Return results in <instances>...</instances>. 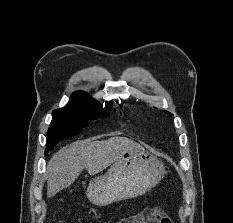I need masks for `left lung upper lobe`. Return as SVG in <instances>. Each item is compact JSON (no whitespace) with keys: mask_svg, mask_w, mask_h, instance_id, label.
<instances>
[{"mask_svg":"<svg viewBox=\"0 0 233 223\" xmlns=\"http://www.w3.org/2000/svg\"><path fill=\"white\" fill-rule=\"evenodd\" d=\"M166 113L169 114V115H172L171 113H169V112H167V111H166Z\"/></svg>","mask_w":233,"mask_h":223,"instance_id":"1","label":"left lung upper lobe"}]
</instances>
